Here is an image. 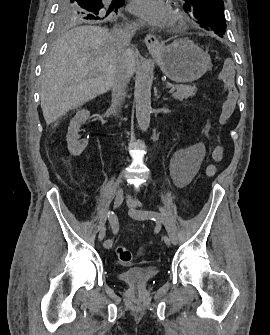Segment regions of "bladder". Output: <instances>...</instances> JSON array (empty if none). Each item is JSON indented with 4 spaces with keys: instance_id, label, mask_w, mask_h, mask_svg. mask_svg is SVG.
Returning a JSON list of instances; mask_svg holds the SVG:
<instances>
[{
    "instance_id": "1",
    "label": "bladder",
    "mask_w": 270,
    "mask_h": 335,
    "mask_svg": "<svg viewBox=\"0 0 270 335\" xmlns=\"http://www.w3.org/2000/svg\"><path fill=\"white\" fill-rule=\"evenodd\" d=\"M150 271L151 269L148 268H131L120 273L118 277L128 285L140 288L146 286L151 281L153 275Z\"/></svg>"
}]
</instances>
